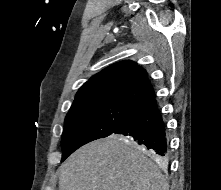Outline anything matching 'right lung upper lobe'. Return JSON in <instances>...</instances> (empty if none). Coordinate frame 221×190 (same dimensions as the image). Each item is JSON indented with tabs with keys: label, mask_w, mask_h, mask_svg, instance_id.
<instances>
[{
	"label": "right lung upper lobe",
	"mask_w": 221,
	"mask_h": 190,
	"mask_svg": "<svg viewBox=\"0 0 221 190\" xmlns=\"http://www.w3.org/2000/svg\"><path fill=\"white\" fill-rule=\"evenodd\" d=\"M154 97L145 69L125 60L105 68L84 83L72 106L115 103L136 109Z\"/></svg>",
	"instance_id": "obj_1"
}]
</instances>
